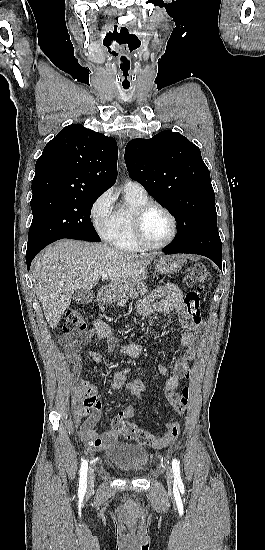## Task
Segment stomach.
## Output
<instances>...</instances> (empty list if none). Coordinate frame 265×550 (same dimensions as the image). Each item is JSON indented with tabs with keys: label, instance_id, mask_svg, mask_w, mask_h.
<instances>
[{
	"label": "stomach",
	"instance_id": "stomach-1",
	"mask_svg": "<svg viewBox=\"0 0 265 550\" xmlns=\"http://www.w3.org/2000/svg\"><path fill=\"white\" fill-rule=\"evenodd\" d=\"M184 264V260L179 256H159L154 260V269L159 274H174L178 272ZM144 273L138 278L129 283L127 289L124 292L129 291L132 288H135L140 282L144 279Z\"/></svg>",
	"mask_w": 265,
	"mask_h": 550
}]
</instances>
